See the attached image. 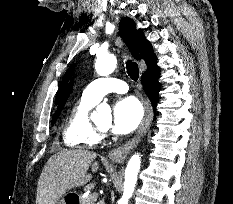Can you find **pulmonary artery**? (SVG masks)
<instances>
[{"instance_id": "pulmonary-artery-1", "label": "pulmonary artery", "mask_w": 233, "mask_h": 204, "mask_svg": "<svg viewBox=\"0 0 233 204\" xmlns=\"http://www.w3.org/2000/svg\"><path fill=\"white\" fill-rule=\"evenodd\" d=\"M127 91L128 85L126 82L113 77H104L98 78L89 83L85 87L82 95L88 100L97 103L108 93H126Z\"/></svg>"}]
</instances>
